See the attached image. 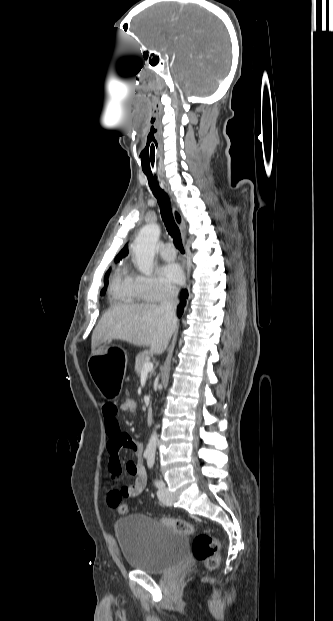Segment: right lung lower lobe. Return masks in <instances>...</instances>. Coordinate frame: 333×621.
<instances>
[{
    "label": "right lung lower lobe",
    "instance_id": "98d812e1",
    "mask_svg": "<svg viewBox=\"0 0 333 621\" xmlns=\"http://www.w3.org/2000/svg\"><path fill=\"white\" fill-rule=\"evenodd\" d=\"M188 298V291L186 289H183L180 293V304L177 307V313L178 316H181L183 311H184V307L186 305V299Z\"/></svg>",
    "mask_w": 333,
    "mask_h": 621
}]
</instances>
